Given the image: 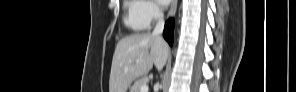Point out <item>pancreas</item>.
Wrapping results in <instances>:
<instances>
[{
  "mask_svg": "<svg viewBox=\"0 0 296 92\" xmlns=\"http://www.w3.org/2000/svg\"><path fill=\"white\" fill-rule=\"evenodd\" d=\"M147 82L148 78L146 76L140 77L134 82L133 86L131 87V92H140L141 86L146 84Z\"/></svg>",
  "mask_w": 296,
  "mask_h": 92,
  "instance_id": "pancreas-1",
  "label": "pancreas"
}]
</instances>
